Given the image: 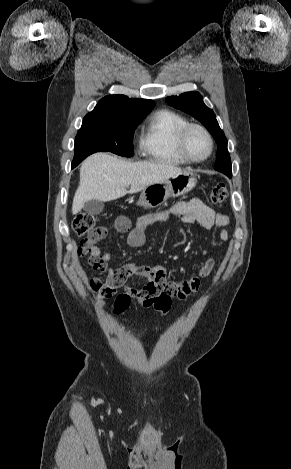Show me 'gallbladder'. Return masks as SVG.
I'll use <instances>...</instances> for the list:
<instances>
[{
    "mask_svg": "<svg viewBox=\"0 0 291 469\" xmlns=\"http://www.w3.org/2000/svg\"><path fill=\"white\" fill-rule=\"evenodd\" d=\"M104 208V204L103 202L99 201V200H96V199H92V200H89L85 203L83 209L88 213V214H91V215H98L102 212Z\"/></svg>",
    "mask_w": 291,
    "mask_h": 469,
    "instance_id": "1",
    "label": "gallbladder"
}]
</instances>
